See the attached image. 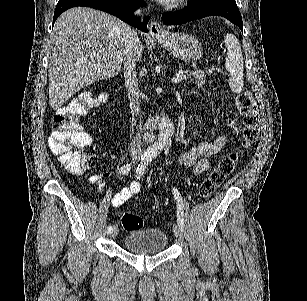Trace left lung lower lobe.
I'll list each match as a JSON object with an SVG mask.
<instances>
[{"instance_id": "0a47b994", "label": "left lung lower lobe", "mask_w": 307, "mask_h": 301, "mask_svg": "<svg viewBox=\"0 0 307 301\" xmlns=\"http://www.w3.org/2000/svg\"><path fill=\"white\" fill-rule=\"evenodd\" d=\"M207 16L225 17L243 31L242 17L237 5L221 0H212L196 5H189L178 12L164 13L162 17L164 24L177 25Z\"/></svg>"}]
</instances>
